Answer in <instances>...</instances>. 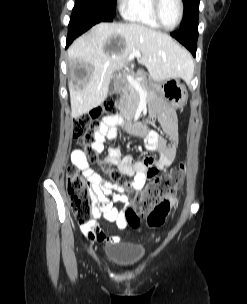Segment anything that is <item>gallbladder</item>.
<instances>
[{
  "label": "gallbladder",
  "instance_id": "gallbladder-1",
  "mask_svg": "<svg viewBox=\"0 0 247 304\" xmlns=\"http://www.w3.org/2000/svg\"><path fill=\"white\" fill-rule=\"evenodd\" d=\"M114 80H115V79H113V80L111 81V83H110V86H109V90H110V91H113V90H114Z\"/></svg>",
  "mask_w": 247,
  "mask_h": 304
}]
</instances>
